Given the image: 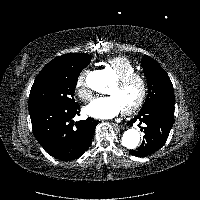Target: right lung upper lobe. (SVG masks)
<instances>
[{
  "label": "right lung upper lobe",
  "instance_id": "1",
  "mask_svg": "<svg viewBox=\"0 0 200 200\" xmlns=\"http://www.w3.org/2000/svg\"><path fill=\"white\" fill-rule=\"evenodd\" d=\"M75 55L76 54H64L62 56H58L49 62L43 69L46 70L58 66L59 64L67 63L69 60L75 57Z\"/></svg>",
  "mask_w": 200,
  "mask_h": 200
}]
</instances>
